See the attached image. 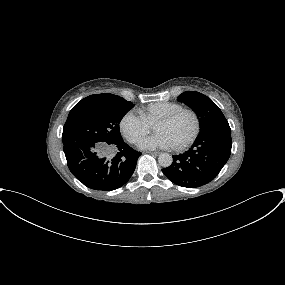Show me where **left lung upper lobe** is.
I'll return each mask as SVG.
<instances>
[{
    "label": "left lung upper lobe",
    "instance_id": "1",
    "mask_svg": "<svg viewBox=\"0 0 285 285\" xmlns=\"http://www.w3.org/2000/svg\"><path fill=\"white\" fill-rule=\"evenodd\" d=\"M178 101L184 102L198 115L201 130L215 126L229 127L221 110L209 97L186 91L178 96Z\"/></svg>",
    "mask_w": 285,
    "mask_h": 285
}]
</instances>
